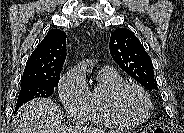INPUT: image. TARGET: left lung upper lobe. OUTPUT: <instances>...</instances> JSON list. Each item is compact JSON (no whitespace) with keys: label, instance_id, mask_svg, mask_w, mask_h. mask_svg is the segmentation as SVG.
<instances>
[{"label":"left lung upper lobe","instance_id":"obj_1","mask_svg":"<svg viewBox=\"0 0 184 133\" xmlns=\"http://www.w3.org/2000/svg\"><path fill=\"white\" fill-rule=\"evenodd\" d=\"M109 49L114 61L147 90L157 91L153 64L139 39L127 28L115 30Z\"/></svg>","mask_w":184,"mask_h":133}]
</instances>
